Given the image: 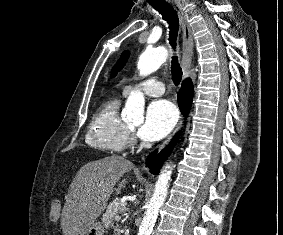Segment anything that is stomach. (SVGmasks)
<instances>
[{"mask_svg":"<svg viewBox=\"0 0 283 235\" xmlns=\"http://www.w3.org/2000/svg\"><path fill=\"white\" fill-rule=\"evenodd\" d=\"M86 235H104V227L102 223L95 221L87 231Z\"/></svg>","mask_w":283,"mask_h":235,"instance_id":"0dacf381","label":"stomach"}]
</instances>
